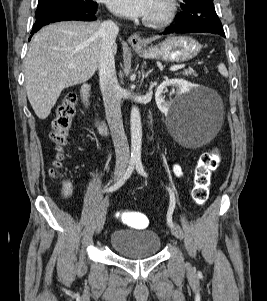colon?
Wrapping results in <instances>:
<instances>
[{"label": "colon", "mask_w": 267, "mask_h": 301, "mask_svg": "<svg viewBox=\"0 0 267 301\" xmlns=\"http://www.w3.org/2000/svg\"><path fill=\"white\" fill-rule=\"evenodd\" d=\"M77 98L73 93L67 94L59 104L56 116L52 122L50 138L57 150L56 160L50 169L51 176L57 175V170L63 159L62 149L67 141L72 119L76 112ZM221 163V156L217 151L203 154L199 159L193 178L192 198L198 205L207 202L210 194L211 175ZM72 187L68 181L63 182V192L65 196L71 194ZM116 218L134 227H144L147 225V218L144 214L128 210H119L115 213Z\"/></svg>", "instance_id": "1"}]
</instances>
